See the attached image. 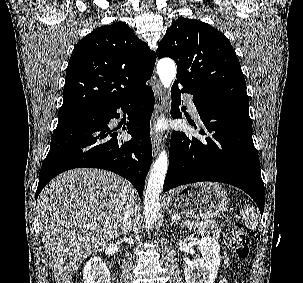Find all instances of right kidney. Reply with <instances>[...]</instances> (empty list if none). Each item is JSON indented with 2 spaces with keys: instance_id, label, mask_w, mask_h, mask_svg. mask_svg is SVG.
<instances>
[{
  "instance_id": "obj_1",
  "label": "right kidney",
  "mask_w": 303,
  "mask_h": 283,
  "mask_svg": "<svg viewBox=\"0 0 303 283\" xmlns=\"http://www.w3.org/2000/svg\"><path fill=\"white\" fill-rule=\"evenodd\" d=\"M84 283H111L110 272L98 256L92 257L83 268Z\"/></svg>"
}]
</instances>
